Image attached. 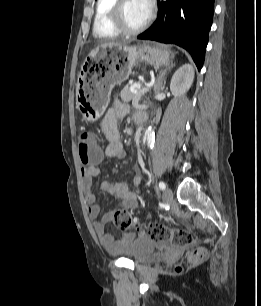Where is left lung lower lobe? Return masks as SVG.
I'll use <instances>...</instances> for the list:
<instances>
[{"label":"left lung lower lobe","instance_id":"left-lung-lower-lobe-1","mask_svg":"<svg viewBox=\"0 0 261 306\" xmlns=\"http://www.w3.org/2000/svg\"><path fill=\"white\" fill-rule=\"evenodd\" d=\"M158 16L138 39L174 43L186 49L200 70L212 25L214 0H157Z\"/></svg>","mask_w":261,"mask_h":306}]
</instances>
